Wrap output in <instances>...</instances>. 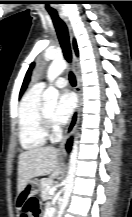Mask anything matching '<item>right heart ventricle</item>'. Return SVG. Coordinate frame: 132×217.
Masks as SVG:
<instances>
[{"label":"right heart ventricle","instance_id":"1","mask_svg":"<svg viewBox=\"0 0 132 217\" xmlns=\"http://www.w3.org/2000/svg\"><path fill=\"white\" fill-rule=\"evenodd\" d=\"M41 87L34 85L23 96L18 112L19 141L23 149L33 150L46 142V131L41 121Z\"/></svg>","mask_w":132,"mask_h":217}]
</instances>
